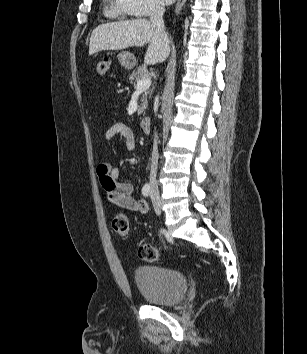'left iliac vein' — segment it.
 I'll return each mask as SVG.
<instances>
[{
    "mask_svg": "<svg viewBox=\"0 0 307 354\" xmlns=\"http://www.w3.org/2000/svg\"><path fill=\"white\" fill-rule=\"evenodd\" d=\"M153 207L157 215L161 213V202L158 198H153Z\"/></svg>",
    "mask_w": 307,
    "mask_h": 354,
    "instance_id": "1",
    "label": "left iliac vein"
}]
</instances>
